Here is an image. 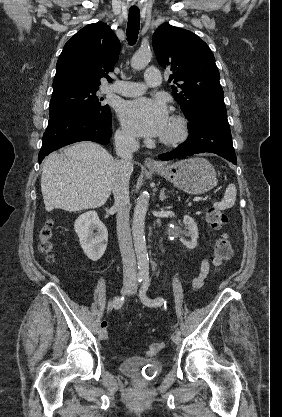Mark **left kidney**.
<instances>
[{
  "instance_id": "5707ae66",
  "label": "left kidney",
  "mask_w": 282,
  "mask_h": 417,
  "mask_svg": "<svg viewBox=\"0 0 282 417\" xmlns=\"http://www.w3.org/2000/svg\"><path fill=\"white\" fill-rule=\"evenodd\" d=\"M183 223L185 225V229H188L190 241H187L184 237H180V241L183 245H185L186 249H195V247H197L198 227L194 219L189 217V215H184Z\"/></svg>"
}]
</instances>
